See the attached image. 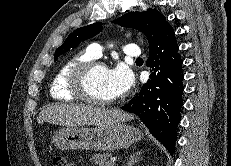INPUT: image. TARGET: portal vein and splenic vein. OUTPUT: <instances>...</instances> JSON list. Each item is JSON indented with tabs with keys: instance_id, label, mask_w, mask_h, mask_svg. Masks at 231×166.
Returning a JSON list of instances; mask_svg holds the SVG:
<instances>
[{
	"instance_id": "18ae733b",
	"label": "portal vein and splenic vein",
	"mask_w": 231,
	"mask_h": 166,
	"mask_svg": "<svg viewBox=\"0 0 231 166\" xmlns=\"http://www.w3.org/2000/svg\"><path fill=\"white\" fill-rule=\"evenodd\" d=\"M115 161H116V158H115V157L110 158V162H111V163H115Z\"/></svg>"
}]
</instances>
